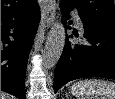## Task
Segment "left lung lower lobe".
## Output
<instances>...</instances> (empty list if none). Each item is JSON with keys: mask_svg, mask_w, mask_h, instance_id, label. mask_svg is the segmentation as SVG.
Segmentation results:
<instances>
[{"mask_svg": "<svg viewBox=\"0 0 115 99\" xmlns=\"http://www.w3.org/2000/svg\"><path fill=\"white\" fill-rule=\"evenodd\" d=\"M65 23L71 8L60 4ZM86 41L75 44L67 36L54 76V92L71 80L87 77L115 79V29L82 19ZM74 35L78 37L77 31Z\"/></svg>", "mask_w": 115, "mask_h": 99, "instance_id": "1", "label": "left lung lower lobe"}]
</instances>
